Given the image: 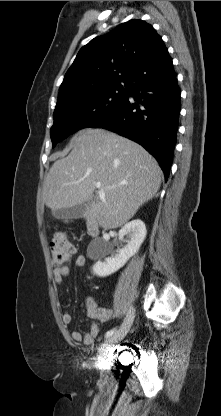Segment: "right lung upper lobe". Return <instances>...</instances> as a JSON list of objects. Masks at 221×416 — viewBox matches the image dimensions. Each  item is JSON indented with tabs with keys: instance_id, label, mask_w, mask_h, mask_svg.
Listing matches in <instances>:
<instances>
[{
	"instance_id": "right-lung-upper-lobe-1",
	"label": "right lung upper lobe",
	"mask_w": 221,
	"mask_h": 416,
	"mask_svg": "<svg viewBox=\"0 0 221 416\" xmlns=\"http://www.w3.org/2000/svg\"><path fill=\"white\" fill-rule=\"evenodd\" d=\"M172 59L162 38L141 20H130L82 47L59 88L57 105L104 90L166 78Z\"/></svg>"
}]
</instances>
